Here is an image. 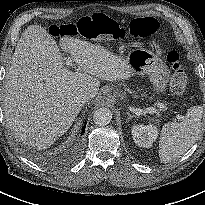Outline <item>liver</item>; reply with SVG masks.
Instances as JSON below:
<instances>
[{
	"label": "liver",
	"instance_id": "6515ba94",
	"mask_svg": "<svg viewBox=\"0 0 205 205\" xmlns=\"http://www.w3.org/2000/svg\"><path fill=\"white\" fill-rule=\"evenodd\" d=\"M80 72L69 70L60 49L43 27L25 29L7 69L4 115L9 127L24 143L37 149L51 146L75 121L83 105L75 96L98 93L100 80L128 79L126 60L70 36L60 41Z\"/></svg>",
	"mask_w": 205,
	"mask_h": 205
}]
</instances>
